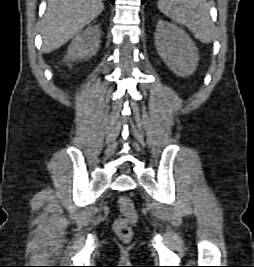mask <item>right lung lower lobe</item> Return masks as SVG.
Returning a JSON list of instances; mask_svg holds the SVG:
<instances>
[{
  "label": "right lung lower lobe",
  "instance_id": "obj_1",
  "mask_svg": "<svg viewBox=\"0 0 254 267\" xmlns=\"http://www.w3.org/2000/svg\"><path fill=\"white\" fill-rule=\"evenodd\" d=\"M111 3H114V0H110Z\"/></svg>",
  "mask_w": 254,
  "mask_h": 267
}]
</instances>
